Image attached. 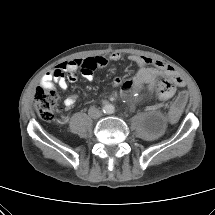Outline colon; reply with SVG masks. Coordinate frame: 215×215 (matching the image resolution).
<instances>
[{
  "mask_svg": "<svg viewBox=\"0 0 215 215\" xmlns=\"http://www.w3.org/2000/svg\"><path fill=\"white\" fill-rule=\"evenodd\" d=\"M174 88V82L167 80L163 82V87L158 89L160 92H171ZM186 94H180L172 105L170 120L175 121L179 118L183 106L186 102ZM58 102V96L54 88L39 87L34 96V105L39 117L45 121H51L54 118V110Z\"/></svg>",
  "mask_w": 215,
  "mask_h": 215,
  "instance_id": "5ec220e1",
  "label": "colon"
}]
</instances>
